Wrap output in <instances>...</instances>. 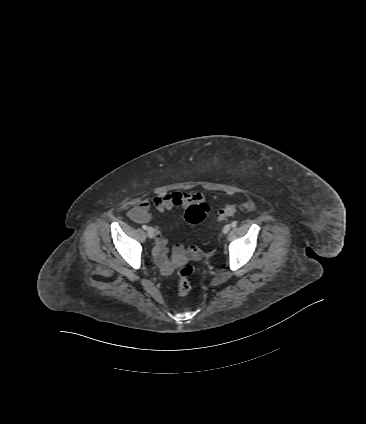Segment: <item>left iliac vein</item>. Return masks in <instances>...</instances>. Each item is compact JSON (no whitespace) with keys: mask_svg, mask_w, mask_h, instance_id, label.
<instances>
[{"mask_svg":"<svg viewBox=\"0 0 366 424\" xmlns=\"http://www.w3.org/2000/svg\"><path fill=\"white\" fill-rule=\"evenodd\" d=\"M230 229H231V226L229 224L225 225L224 228H223V233L227 234L230 231Z\"/></svg>","mask_w":366,"mask_h":424,"instance_id":"left-iliac-vein-1","label":"left iliac vein"}]
</instances>
